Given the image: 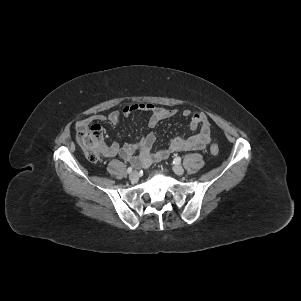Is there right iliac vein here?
Segmentation results:
<instances>
[{"label":"right iliac vein","mask_w":301,"mask_h":301,"mask_svg":"<svg viewBox=\"0 0 301 301\" xmlns=\"http://www.w3.org/2000/svg\"><path fill=\"white\" fill-rule=\"evenodd\" d=\"M129 179L131 181H136L138 179V172L137 171H133L130 175H129Z\"/></svg>","instance_id":"63e3f726"}]
</instances>
